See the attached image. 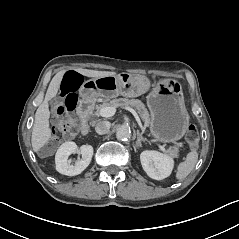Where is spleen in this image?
I'll return each mask as SVG.
<instances>
[{"mask_svg": "<svg viewBox=\"0 0 239 239\" xmlns=\"http://www.w3.org/2000/svg\"><path fill=\"white\" fill-rule=\"evenodd\" d=\"M198 160V153L196 151L187 154L184 162L180 163L177 169L176 177L177 179L186 178L190 172L194 169Z\"/></svg>", "mask_w": 239, "mask_h": 239, "instance_id": "spleen-1", "label": "spleen"}]
</instances>
